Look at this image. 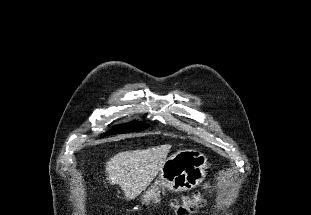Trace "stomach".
<instances>
[{
    "instance_id": "0dacf381",
    "label": "stomach",
    "mask_w": 311,
    "mask_h": 215,
    "mask_svg": "<svg viewBox=\"0 0 311 215\" xmlns=\"http://www.w3.org/2000/svg\"><path fill=\"white\" fill-rule=\"evenodd\" d=\"M207 157L198 150L184 149L169 156L156 180L141 196L142 204L158 201L159 189L187 191L198 186L206 176Z\"/></svg>"
}]
</instances>
